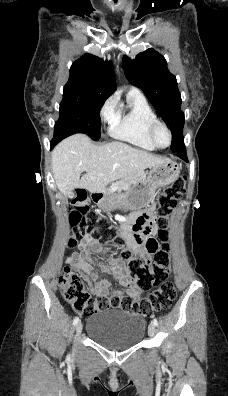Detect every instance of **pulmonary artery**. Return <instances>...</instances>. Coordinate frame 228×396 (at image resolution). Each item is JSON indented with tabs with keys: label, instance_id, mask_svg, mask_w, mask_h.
<instances>
[{
	"label": "pulmonary artery",
	"instance_id": "pulmonary-artery-1",
	"mask_svg": "<svg viewBox=\"0 0 228 396\" xmlns=\"http://www.w3.org/2000/svg\"><path fill=\"white\" fill-rule=\"evenodd\" d=\"M130 92L140 93V94H141L140 90L137 89V88H132V89L130 90Z\"/></svg>",
	"mask_w": 228,
	"mask_h": 396
}]
</instances>
